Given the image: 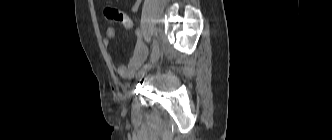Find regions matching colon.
I'll return each mask as SVG.
<instances>
[{"label": "colon", "instance_id": "obj_1", "mask_svg": "<svg viewBox=\"0 0 332 140\" xmlns=\"http://www.w3.org/2000/svg\"><path fill=\"white\" fill-rule=\"evenodd\" d=\"M104 14L109 21L122 26L127 31L132 30L133 21L125 12L114 7H107Z\"/></svg>", "mask_w": 332, "mask_h": 140}]
</instances>
